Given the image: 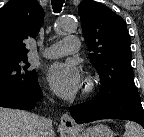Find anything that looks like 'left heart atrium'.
I'll return each mask as SVG.
<instances>
[{"label": "left heart atrium", "mask_w": 144, "mask_h": 137, "mask_svg": "<svg viewBox=\"0 0 144 137\" xmlns=\"http://www.w3.org/2000/svg\"><path fill=\"white\" fill-rule=\"evenodd\" d=\"M47 78L53 91L64 99L75 97L82 85L80 71L71 61L51 65Z\"/></svg>", "instance_id": "1"}]
</instances>
